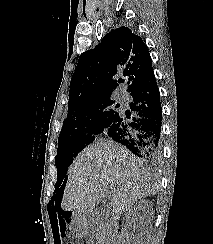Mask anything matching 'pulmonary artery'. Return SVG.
<instances>
[{
    "instance_id": "obj_1",
    "label": "pulmonary artery",
    "mask_w": 213,
    "mask_h": 244,
    "mask_svg": "<svg viewBox=\"0 0 213 244\" xmlns=\"http://www.w3.org/2000/svg\"><path fill=\"white\" fill-rule=\"evenodd\" d=\"M118 98H119V99H122V98H123V94H122V93H119V94H118Z\"/></svg>"
}]
</instances>
